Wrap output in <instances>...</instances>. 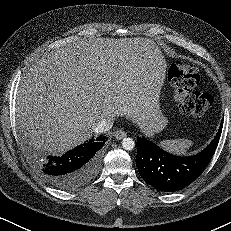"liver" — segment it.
Returning a JSON list of instances; mask_svg holds the SVG:
<instances>
[{"instance_id":"liver-1","label":"liver","mask_w":231,"mask_h":231,"mask_svg":"<svg viewBox=\"0 0 231 231\" xmlns=\"http://www.w3.org/2000/svg\"><path fill=\"white\" fill-rule=\"evenodd\" d=\"M166 62L148 38H96L49 52L23 75L21 131L37 149L62 154L90 139L102 120L125 116L145 133L163 117Z\"/></svg>"}]
</instances>
